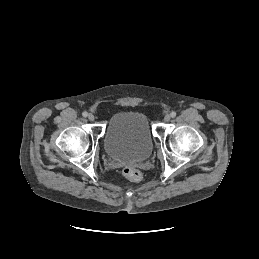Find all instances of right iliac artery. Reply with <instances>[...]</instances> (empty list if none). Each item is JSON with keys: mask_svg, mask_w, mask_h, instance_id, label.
I'll return each mask as SVG.
<instances>
[{"mask_svg": "<svg viewBox=\"0 0 259 259\" xmlns=\"http://www.w3.org/2000/svg\"><path fill=\"white\" fill-rule=\"evenodd\" d=\"M83 117H87L88 116V113L85 111L82 113Z\"/></svg>", "mask_w": 259, "mask_h": 259, "instance_id": "82829eb1", "label": "right iliac artery"}]
</instances>
